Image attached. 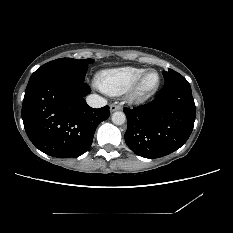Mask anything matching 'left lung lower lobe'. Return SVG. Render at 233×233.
I'll return each instance as SVG.
<instances>
[{"label": "left lung lower lobe", "mask_w": 233, "mask_h": 233, "mask_svg": "<svg viewBox=\"0 0 233 233\" xmlns=\"http://www.w3.org/2000/svg\"><path fill=\"white\" fill-rule=\"evenodd\" d=\"M123 111L127 117L125 142L145 158H158L179 149L188 140L195 121L191 87L180 74L167 80L150 103Z\"/></svg>", "instance_id": "0a47b994"}]
</instances>
